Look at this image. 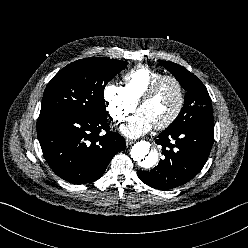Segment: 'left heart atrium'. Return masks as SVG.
Segmentation results:
<instances>
[{
  "label": "left heart atrium",
  "mask_w": 248,
  "mask_h": 248,
  "mask_svg": "<svg viewBox=\"0 0 248 248\" xmlns=\"http://www.w3.org/2000/svg\"><path fill=\"white\" fill-rule=\"evenodd\" d=\"M152 127L153 123L149 117L138 111L120 126V132L129 138H137L150 131Z\"/></svg>",
  "instance_id": "left-heart-atrium-1"
}]
</instances>
